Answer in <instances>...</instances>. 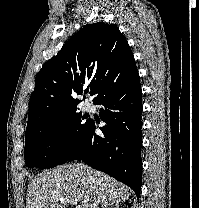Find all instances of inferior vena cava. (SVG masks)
I'll list each match as a JSON object with an SVG mask.
<instances>
[{
    "mask_svg": "<svg viewBox=\"0 0 199 208\" xmlns=\"http://www.w3.org/2000/svg\"><path fill=\"white\" fill-rule=\"evenodd\" d=\"M98 204H99V201L98 200H94L92 205H91V208H98Z\"/></svg>",
    "mask_w": 199,
    "mask_h": 208,
    "instance_id": "602c4592",
    "label": "inferior vena cava"
}]
</instances>
